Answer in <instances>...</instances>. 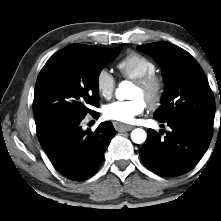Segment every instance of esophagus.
I'll use <instances>...</instances> for the list:
<instances>
[{"label": "esophagus", "mask_w": 221, "mask_h": 221, "mask_svg": "<svg viewBox=\"0 0 221 221\" xmlns=\"http://www.w3.org/2000/svg\"><path fill=\"white\" fill-rule=\"evenodd\" d=\"M114 127L118 132H126L130 131L134 128V126L131 125H125L119 122H114Z\"/></svg>", "instance_id": "esophagus-1"}]
</instances>
